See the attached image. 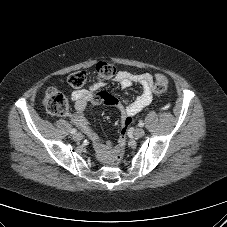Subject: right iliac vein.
<instances>
[{
    "label": "right iliac vein",
    "instance_id": "1",
    "mask_svg": "<svg viewBox=\"0 0 227 227\" xmlns=\"http://www.w3.org/2000/svg\"><path fill=\"white\" fill-rule=\"evenodd\" d=\"M73 139L75 141H81L83 139V135L78 132V133H76V134L73 135Z\"/></svg>",
    "mask_w": 227,
    "mask_h": 227
}]
</instances>
